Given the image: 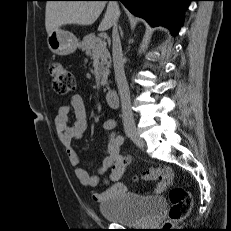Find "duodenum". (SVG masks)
<instances>
[{
  "label": "duodenum",
  "mask_w": 231,
  "mask_h": 231,
  "mask_svg": "<svg viewBox=\"0 0 231 231\" xmlns=\"http://www.w3.org/2000/svg\"><path fill=\"white\" fill-rule=\"evenodd\" d=\"M105 97L108 105L111 108L117 109L120 106V98L115 90H108Z\"/></svg>",
  "instance_id": "duodenum-1"
}]
</instances>
